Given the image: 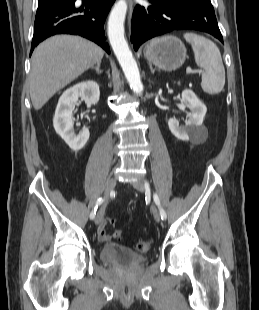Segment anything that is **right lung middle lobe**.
<instances>
[{"label":"right lung middle lobe","mask_w":259,"mask_h":310,"mask_svg":"<svg viewBox=\"0 0 259 310\" xmlns=\"http://www.w3.org/2000/svg\"><path fill=\"white\" fill-rule=\"evenodd\" d=\"M69 0H38V9L46 8L51 5L65 4Z\"/></svg>","instance_id":"1"}]
</instances>
